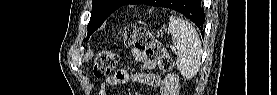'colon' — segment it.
<instances>
[{
  "label": "colon",
  "instance_id": "1",
  "mask_svg": "<svg viewBox=\"0 0 277 95\" xmlns=\"http://www.w3.org/2000/svg\"><path fill=\"white\" fill-rule=\"evenodd\" d=\"M119 37L124 46L134 48L146 53L149 57L156 58L162 73L170 74L174 72V58L167 52L164 44L149 29L126 26L120 31ZM119 61L120 56L117 50L100 51L94 62V76L110 75L118 66Z\"/></svg>",
  "mask_w": 277,
  "mask_h": 95
}]
</instances>
